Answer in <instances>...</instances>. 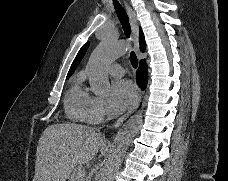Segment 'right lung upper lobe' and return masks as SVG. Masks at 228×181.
I'll return each mask as SVG.
<instances>
[{
    "mask_svg": "<svg viewBox=\"0 0 228 181\" xmlns=\"http://www.w3.org/2000/svg\"><path fill=\"white\" fill-rule=\"evenodd\" d=\"M139 39H140V50L142 52H144L146 45H145V40H144V35H143L142 30H140ZM88 46H89V42H87L85 45H83V47L78 52L76 58L74 59L72 65H71V68L68 72L67 79L74 73V70L76 69L77 65L80 63L81 59L83 58L84 54L86 53Z\"/></svg>",
    "mask_w": 228,
    "mask_h": 181,
    "instance_id": "cb5924a9",
    "label": "right lung upper lobe"
}]
</instances>
